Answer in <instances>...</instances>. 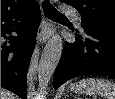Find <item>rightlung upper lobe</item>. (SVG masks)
I'll list each match as a JSON object with an SVG mask.
<instances>
[{
    "label": "right lung upper lobe",
    "instance_id": "cb5924a9",
    "mask_svg": "<svg viewBox=\"0 0 115 99\" xmlns=\"http://www.w3.org/2000/svg\"><path fill=\"white\" fill-rule=\"evenodd\" d=\"M35 0H1V17L21 12Z\"/></svg>",
    "mask_w": 115,
    "mask_h": 99
}]
</instances>
